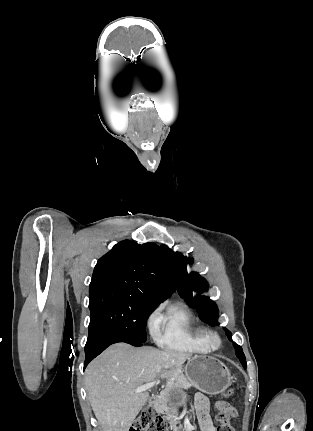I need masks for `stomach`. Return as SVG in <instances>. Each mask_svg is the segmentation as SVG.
Returning a JSON list of instances; mask_svg holds the SVG:
<instances>
[{
	"instance_id": "obj_1",
	"label": "stomach",
	"mask_w": 313,
	"mask_h": 431,
	"mask_svg": "<svg viewBox=\"0 0 313 431\" xmlns=\"http://www.w3.org/2000/svg\"><path fill=\"white\" fill-rule=\"evenodd\" d=\"M185 376L200 391L215 395L225 391L232 381L229 369L220 360L206 355H196L188 359L184 368ZM176 404L185 398L183 391H173Z\"/></svg>"
}]
</instances>
